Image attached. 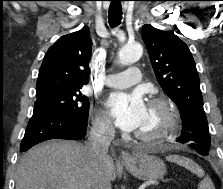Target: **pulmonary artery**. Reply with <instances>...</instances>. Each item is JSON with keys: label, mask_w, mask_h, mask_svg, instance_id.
<instances>
[{"label": "pulmonary artery", "mask_w": 223, "mask_h": 189, "mask_svg": "<svg viewBox=\"0 0 223 189\" xmlns=\"http://www.w3.org/2000/svg\"><path fill=\"white\" fill-rule=\"evenodd\" d=\"M141 78V70L138 67H132L122 73L107 75L105 83L109 87L126 88L138 83Z\"/></svg>", "instance_id": "pulmonary-artery-1"}]
</instances>
